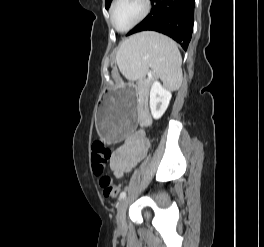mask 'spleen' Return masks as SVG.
Wrapping results in <instances>:
<instances>
[{
    "label": "spleen",
    "instance_id": "spleen-1",
    "mask_svg": "<svg viewBox=\"0 0 264 247\" xmlns=\"http://www.w3.org/2000/svg\"><path fill=\"white\" fill-rule=\"evenodd\" d=\"M116 60L130 81H141L148 72L160 77L171 89L182 83V58L170 38L152 31L136 34L119 48Z\"/></svg>",
    "mask_w": 264,
    "mask_h": 247
}]
</instances>
